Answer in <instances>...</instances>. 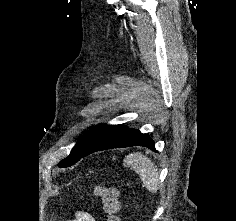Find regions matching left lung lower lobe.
<instances>
[{
    "label": "left lung lower lobe",
    "mask_w": 236,
    "mask_h": 221,
    "mask_svg": "<svg viewBox=\"0 0 236 221\" xmlns=\"http://www.w3.org/2000/svg\"><path fill=\"white\" fill-rule=\"evenodd\" d=\"M136 145L155 150L154 142L148 135L123 125H105L99 127L90 142L82 148L77 161L99 150Z\"/></svg>",
    "instance_id": "obj_1"
}]
</instances>
